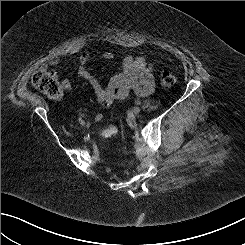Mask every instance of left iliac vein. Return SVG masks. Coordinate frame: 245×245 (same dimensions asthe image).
<instances>
[{"mask_svg":"<svg viewBox=\"0 0 245 245\" xmlns=\"http://www.w3.org/2000/svg\"><path fill=\"white\" fill-rule=\"evenodd\" d=\"M132 112L137 115V114H139L141 112V109L139 107H134L132 109Z\"/></svg>","mask_w":245,"mask_h":245,"instance_id":"left-iliac-vein-1","label":"left iliac vein"}]
</instances>
